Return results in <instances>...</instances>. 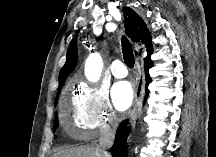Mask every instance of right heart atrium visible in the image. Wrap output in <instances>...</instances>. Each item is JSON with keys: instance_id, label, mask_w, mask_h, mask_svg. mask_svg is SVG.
<instances>
[{"instance_id": "1", "label": "right heart atrium", "mask_w": 216, "mask_h": 157, "mask_svg": "<svg viewBox=\"0 0 216 157\" xmlns=\"http://www.w3.org/2000/svg\"><path fill=\"white\" fill-rule=\"evenodd\" d=\"M117 121L107 93L89 85H80L73 102V128L81 137L88 138L110 131Z\"/></svg>"}]
</instances>
